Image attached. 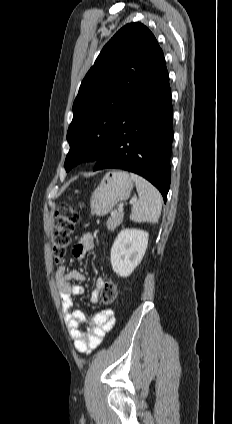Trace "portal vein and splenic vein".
<instances>
[{
	"label": "portal vein and splenic vein",
	"instance_id": "obj_1",
	"mask_svg": "<svg viewBox=\"0 0 232 424\" xmlns=\"http://www.w3.org/2000/svg\"><path fill=\"white\" fill-rule=\"evenodd\" d=\"M135 201H136V198H133V199L130 201V203L132 204V203H134ZM118 211H119V212H123V205H120V206H119ZM111 215H114V212H112V213H111Z\"/></svg>",
	"mask_w": 232,
	"mask_h": 424
}]
</instances>
